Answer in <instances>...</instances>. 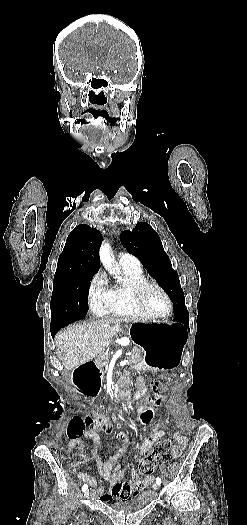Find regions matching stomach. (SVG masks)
Here are the masks:
<instances>
[{
	"label": "stomach",
	"mask_w": 247,
	"mask_h": 525,
	"mask_svg": "<svg viewBox=\"0 0 247 525\" xmlns=\"http://www.w3.org/2000/svg\"><path fill=\"white\" fill-rule=\"evenodd\" d=\"M132 340L144 350L141 367L171 371L178 367L187 343L183 325L170 322L135 323L129 328Z\"/></svg>",
	"instance_id": "0dacf381"
}]
</instances>
